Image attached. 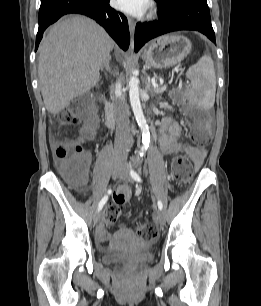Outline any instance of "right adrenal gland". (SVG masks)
<instances>
[{
  "label": "right adrenal gland",
  "instance_id": "right-adrenal-gland-1",
  "mask_svg": "<svg viewBox=\"0 0 261 306\" xmlns=\"http://www.w3.org/2000/svg\"><path fill=\"white\" fill-rule=\"evenodd\" d=\"M111 60H112V57L109 56L107 62L101 67V71H104V69H106L109 73L113 72L112 68L110 67Z\"/></svg>",
  "mask_w": 261,
  "mask_h": 306
}]
</instances>
